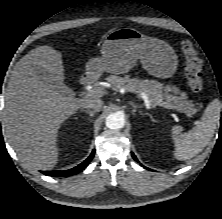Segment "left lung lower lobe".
Instances as JSON below:
<instances>
[{
    "mask_svg": "<svg viewBox=\"0 0 222 219\" xmlns=\"http://www.w3.org/2000/svg\"><path fill=\"white\" fill-rule=\"evenodd\" d=\"M132 157L134 158V160L137 161V158H136V156L133 153H132Z\"/></svg>",
    "mask_w": 222,
    "mask_h": 219,
    "instance_id": "obj_1",
    "label": "left lung lower lobe"
}]
</instances>
